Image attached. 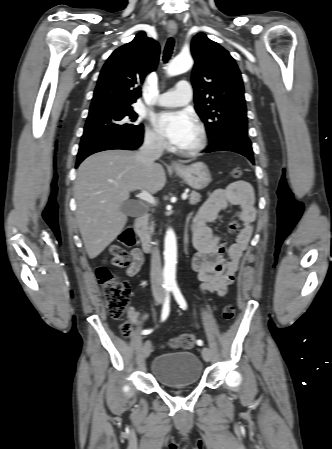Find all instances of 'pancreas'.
Wrapping results in <instances>:
<instances>
[{"mask_svg": "<svg viewBox=\"0 0 332 449\" xmlns=\"http://www.w3.org/2000/svg\"><path fill=\"white\" fill-rule=\"evenodd\" d=\"M200 199H201V195H200L198 192L193 191V192H191V194H190L189 203L192 204V205H194V204L198 203V202L200 201ZM145 229H146L149 233L153 232V229H154V223L151 222L150 224H146V225H145Z\"/></svg>", "mask_w": 332, "mask_h": 449, "instance_id": "cf45deb5", "label": "pancreas"}]
</instances>
